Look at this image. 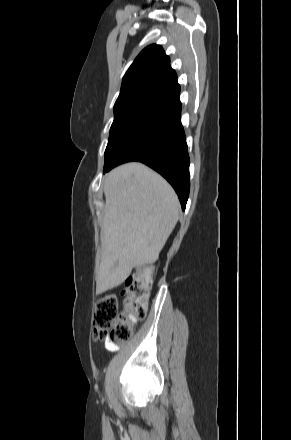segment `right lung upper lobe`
Wrapping results in <instances>:
<instances>
[{
  "label": "right lung upper lobe",
  "mask_w": 291,
  "mask_h": 440,
  "mask_svg": "<svg viewBox=\"0 0 291 440\" xmlns=\"http://www.w3.org/2000/svg\"><path fill=\"white\" fill-rule=\"evenodd\" d=\"M177 84V75L170 59L159 45L146 47L134 60L123 77L121 91L115 104L159 97Z\"/></svg>",
  "instance_id": "cb5924a9"
}]
</instances>
